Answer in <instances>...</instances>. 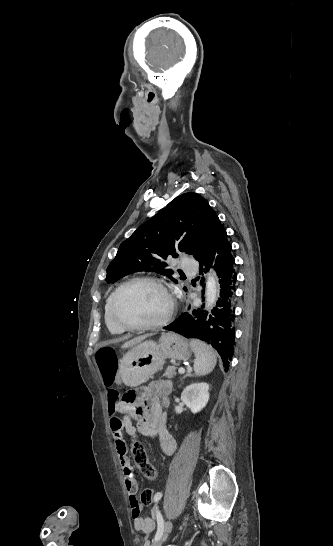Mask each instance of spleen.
<instances>
[{
	"label": "spleen",
	"mask_w": 333,
	"mask_h": 546,
	"mask_svg": "<svg viewBox=\"0 0 333 546\" xmlns=\"http://www.w3.org/2000/svg\"><path fill=\"white\" fill-rule=\"evenodd\" d=\"M190 346L195 354L194 372L198 376H205L214 369L217 356L212 347L200 340H191Z\"/></svg>",
	"instance_id": "spleen-1"
}]
</instances>
